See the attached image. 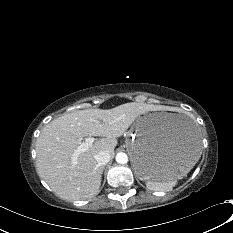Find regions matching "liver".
<instances>
[{"mask_svg": "<svg viewBox=\"0 0 233 233\" xmlns=\"http://www.w3.org/2000/svg\"><path fill=\"white\" fill-rule=\"evenodd\" d=\"M159 106L130 102L112 109H86L54 119L36 142V170L52 191L68 201L86 200L98 194L103 168L95 160L100 151L114 154L117 138L142 114ZM102 136L73 159L80 141Z\"/></svg>", "mask_w": 233, "mask_h": 233, "instance_id": "1", "label": "liver"}]
</instances>
